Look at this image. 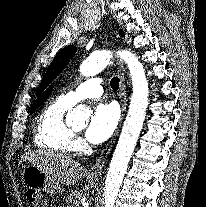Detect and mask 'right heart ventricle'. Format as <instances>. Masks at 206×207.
I'll use <instances>...</instances> for the list:
<instances>
[{
    "label": "right heart ventricle",
    "instance_id": "right-heart-ventricle-1",
    "mask_svg": "<svg viewBox=\"0 0 206 207\" xmlns=\"http://www.w3.org/2000/svg\"><path fill=\"white\" fill-rule=\"evenodd\" d=\"M72 106L62 95L44 107L35 123L33 141L36 147L58 153L77 149L76 137L65 122V114Z\"/></svg>",
    "mask_w": 206,
    "mask_h": 207
}]
</instances>
